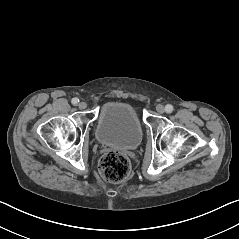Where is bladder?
<instances>
[{
    "mask_svg": "<svg viewBox=\"0 0 239 239\" xmlns=\"http://www.w3.org/2000/svg\"><path fill=\"white\" fill-rule=\"evenodd\" d=\"M95 137L107 147L136 149L142 142L143 131L135 108L127 102H106L98 115Z\"/></svg>",
    "mask_w": 239,
    "mask_h": 239,
    "instance_id": "bladder-1",
    "label": "bladder"
}]
</instances>
